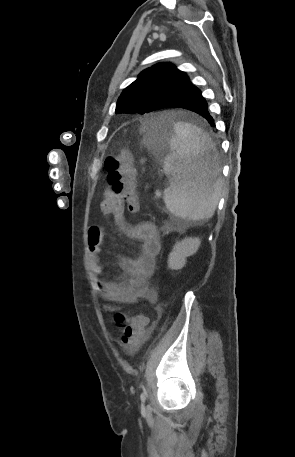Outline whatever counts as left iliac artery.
<instances>
[{
	"label": "left iliac artery",
	"instance_id": "obj_1",
	"mask_svg": "<svg viewBox=\"0 0 295 457\" xmlns=\"http://www.w3.org/2000/svg\"><path fill=\"white\" fill-rule=\"evenodd\" d=\"M140 398H141L142 401H145V400H146V393L143 392V393L141 394Z\"/></svg>",
	"mask_w": 295,
	"mask_h": 457
}]
</instances>
